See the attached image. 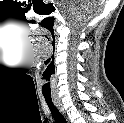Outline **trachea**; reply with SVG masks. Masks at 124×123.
<instances>
[{
	"instance_id": "trachea-1",
	"label": "trachea",
	"mask_w": 124,
	"mask_h": 123,
	"mask_svg": "<svg viewBox=\"0 0 124 123\" xmlns=\"http://www.w3.org/2000/svg\"><path fill=\"white\" fill-rule=\"evenodd\" d=\"M45 101L50 109V112L52 114V117L54 118L56 123H66L65 118L63 115L59 112V110L55 107V105L52 102L51 97H44Z\"/></svg>"
}]
</instances>
